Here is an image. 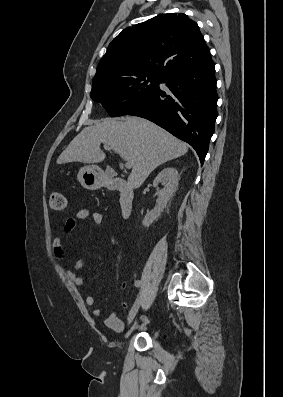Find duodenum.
<instances>
[{"label": "duodenum", "mask_w": 283, "mask_h": 397, "mask_svg": "<svg viewBox=\"0 0 283 397\" xmlns=\"http://www.w3.org/2000/svg\"><path fill=\"white\" fill-rule=\"evenodd\" d=\"M107 187L118 191L119 206L123 218H128L133 210L134 192L126 181L121 178H113L107 182Z\"/></svg>", "instance_id": "1"}]
</instances>
